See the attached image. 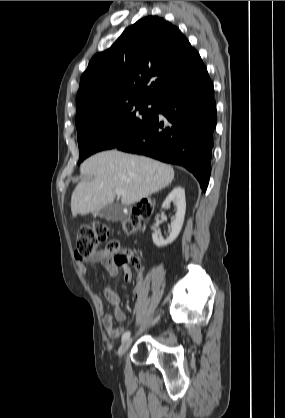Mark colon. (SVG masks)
<instances>
[{
  "label": "colon",
  "mask_w": 285,
  "mask_h": 418,
  "mask_svg": "<svg viewBox=\"0 0 285 418\" xmlns=\"http://www.w3.org/2000/svg\"><path fill=\"white\" fill-rule=\"evenodd\" d=\"M151 204L148 201H141L133 208V216L124 220L122 230L126 235H133L139 230V223L151 215ZM108 237V228L103 224H91L82 226L78 229L76 236L77 260L88 261L95 253L99 251L100 245L106 241ZM108 250L115 252L117 250L116 243H109ZM121 264H127L131 267L139 269L141 267L140 259L134 255H126L118 259Z\"/></svg>",
  "instance_id": "obj_1"
}]
</instances>
